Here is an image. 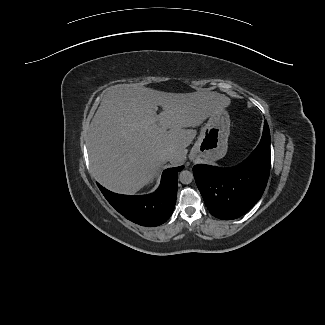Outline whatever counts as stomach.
I'll return each mask as SVG.
<instances>
[{"label": "stomach", "instance_id": "0dacf381", "mask_svg": "<svg viewBox=\"0 0 325 325\" xmlns=\"http://www.w3.org/2000/svg\"><path fill=\"white\" fill-rule=\"evenodd\" d=\"M230 118L225 109L212 113L193 146L190 157L196 161L213 162L227 152Z\"/></svg>", "mask_w": 325, "mask_h": 325}]
</instances>
